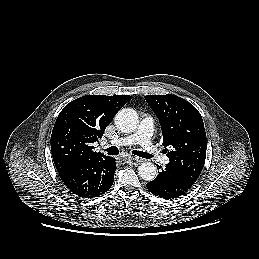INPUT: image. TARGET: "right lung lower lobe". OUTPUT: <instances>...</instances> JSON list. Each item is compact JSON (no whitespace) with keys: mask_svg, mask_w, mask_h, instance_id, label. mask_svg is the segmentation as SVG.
Wrapping results in <instances>:
<instances>
[{"mask_svg":"<svg viewBox=\"0 0 259 259\" xmlns=\"http://www.w3.org/2000/svg\"><path fill=\"white\" fill-rule=\"evenodd\" d=\"M116 160L106 157L79 163L59 172L64 184L75 195L93 198L104 194L113 184Z\"/></svg>","mask_w":259,"mask_h":259,"instance_id":"98d812e1","label":"right lung lower lobe"}]
</instances>
